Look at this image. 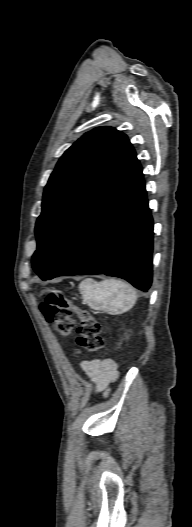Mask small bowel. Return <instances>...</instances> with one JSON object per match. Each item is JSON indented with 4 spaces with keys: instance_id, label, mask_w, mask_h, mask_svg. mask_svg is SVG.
<instances>
[{
    "instance_id": "1",
    "label": "small bowel",
    "mask_w": 192,
    "mask_h": 527,
    "mask_svg": "<svg viewBox=\"0 0 192 527\" xmlns=\"http://www.w3.org/2000/svg\"><path fill=\"white\" fill-rule=\"evenodd\" d=\"M83 372L93 380L97 391H104L117 376V367L113 360L83 361L80 364Z\"/></svg>"
}]
</instances>
